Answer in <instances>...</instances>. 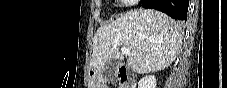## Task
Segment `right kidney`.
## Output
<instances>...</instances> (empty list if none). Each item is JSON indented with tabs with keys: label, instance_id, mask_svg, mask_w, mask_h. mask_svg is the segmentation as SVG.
Listing matches in <instances>:
<instances>
[{
	"label": "right kidney",
	"instance_id": "obj_1",
	"mask_svg": "<svg viewBox=\"0 0 227 88\" xmlns=\"http://www.w3.org/2000/svg\"><path fill=\"white\" fill-rule=\"evenodd\" d=\"M156 85V78L153 75H147L138 82V88H156Z\"/></svg>",
	"mask_w": 227,
	"mask_h": 88
}]
</instances>
